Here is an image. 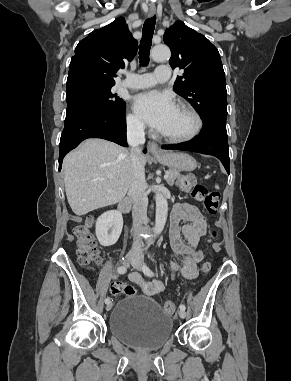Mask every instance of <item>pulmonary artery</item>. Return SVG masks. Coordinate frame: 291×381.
Returning <instances> with one entry per match:
<instances>
[{
    "instance_id": "obj_1",
    "label": "pulmonary artery",
    "mask_w": 291,
    "mask_h": 381,
    "mask_svg": "<svg viewBox=\"0 0 291 381\" xmlns=\"http://www.w3.org/2000/svg\"><path fill=\"white\" fill-rule=\"evenodd\" d=\"M169 78L170 67L167 65H160L153 73L126 74V78L122 81V85L130 89H145L152 87L157 83L166 82Z\"/></svg>"
}]
</instances>
